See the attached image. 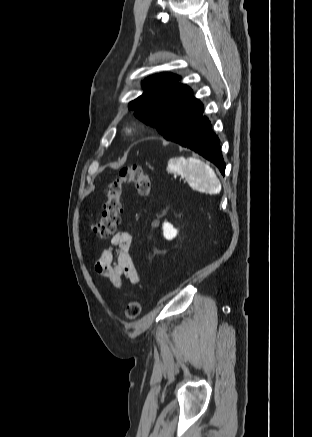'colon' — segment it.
I'll return each mask as SVG.
<instances>
[{"instance_id":"obj_1","label":"colon","mask_w":312,"mask_h":437,"mask_svg":"<svg viewBox=\"0 0 312 437\" xmlns=\"http://www.w3.org/2000/svg\"><path fill=\"white\" fill-rule=\"evenodd\" d=\"M129 184L134 187L142 200H147L151 192V181L147 172L139 165H132L120 169L118 175L107 182L105 186V201L99 220L91 225L92 231L103 238L112 236L119 225L122 203L123 186ZM141 303L131 300L125 308L128 320H136L141 313Z\"/></svg>"}]
</instances>
